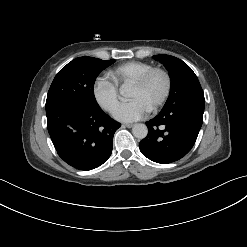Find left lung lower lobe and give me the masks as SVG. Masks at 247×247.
I'll use <instances>...</instances> for the list:
<instances>
[{
    "label": "left lung lower lobe",
    "mask_w": 247,
    "mask_h": 247,
    "mask_svg": "<svg viewBox=\"0 0 247 247\" xmlns=\"http://www.w3.org/2000/svg\"><path fill=\"white\" fill-rule=\"evenodd\" d=\"M204 101L191 100L146 122L148 135L139 143L148 159L168 164L181 159L195 144L203 122Z\"/></svg>",
    "instance_id": "obj_1"
}]
</instances>
